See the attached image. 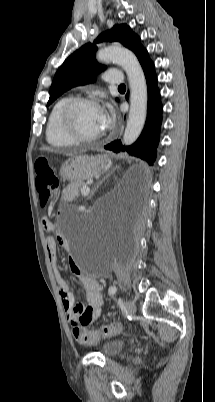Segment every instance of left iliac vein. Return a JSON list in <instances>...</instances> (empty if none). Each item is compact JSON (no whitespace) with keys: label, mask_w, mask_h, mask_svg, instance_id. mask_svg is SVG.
<instances>
[{"label":"left iliac vein","mask_w":215,"mask_h":402,"mask_svg":"<svg viewBox=\"0 0 215 402\" xmlns=\"http://www.w3.org/2000/svg\"><path fill=\"white\" fill-rule=\"evenodd\" d=\"M125 309H126L127 313H130V314L134 313L136 311L135 303L133 301H130V300L126 301Z\"/></svg>","instance_id":"left-iliac-vein-1"}]
</instances>
